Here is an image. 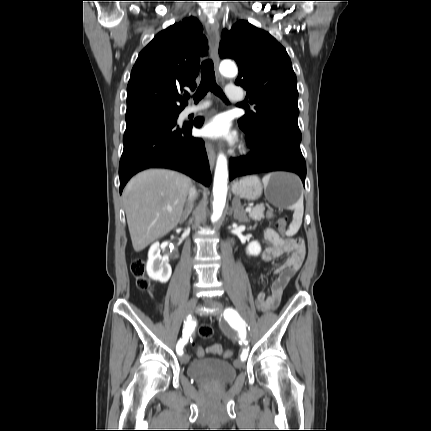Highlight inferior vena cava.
I'll return each mask as SVG.
<instances>
[{"mask_svg": "<svg viewBox=\"0 0 431 431\" xmlns=\"http://www.w3.org/2000/svg\"><path fill=\"white\" fill-rule=\"evenodd\" d=\"M196 197V190L195 188H191L189 192V200H193Z\"/></svg>", "mask_w": 431, "mask_h": 431, "instance_id": "obj_1", "label": "inferior vena cava"}]
</instances>
